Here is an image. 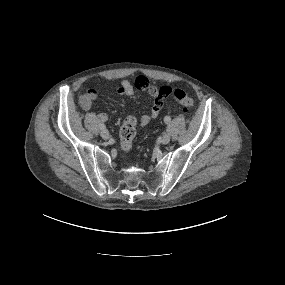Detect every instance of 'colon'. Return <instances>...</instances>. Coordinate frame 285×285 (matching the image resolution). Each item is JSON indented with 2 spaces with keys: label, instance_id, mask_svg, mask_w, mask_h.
<instances>
[{
  "label": "colon",
  "instance_id": "5ec220e1",
  "mask_svg": "<svg viewBox=\"0 0 285 285\" xmlns=\"http://www.w3.org/2000/svg\"><path fill=\"white\" fill-rule=\"evenodd\" d=\"M147 82V78L140 77L136 79L138 87H144ZM174 99L179 102L184 110L188 111L194 106V100L183 90L176 89L173 91ZM137 121L133 116H127L120 128V143L124 152H129L133 148V143L137 134L136 130Z\"/></svg>",
  "mask_w": 285,
  "mask_h": 285
}]
</instances>
